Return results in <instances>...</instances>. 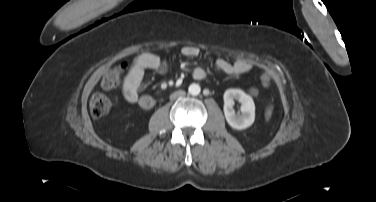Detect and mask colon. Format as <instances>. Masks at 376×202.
I'll return each instance as SVG.
<instances>
[{"label": "colon", "mask_w": 376, "mask_h": 202, "mask_svg": "<svg viewBox=\"0 0 376 202\" xmlns=\"http://www.w3.org/2000/svg\"><path fill=\"white\" fill-rule=\"evenodd\" d=\"M120 83V72L119 69H112L105 73L102 78L101 86L110 90L116 88ZM260 86L263 88H268L271 83L270 76L267 73H262L259 76ZM111 101L103 93H94L89 101L90 112L93 117L100 118L104 116L110 109Z\"/></svg>", "instance_id": "1"}]
</instances>
